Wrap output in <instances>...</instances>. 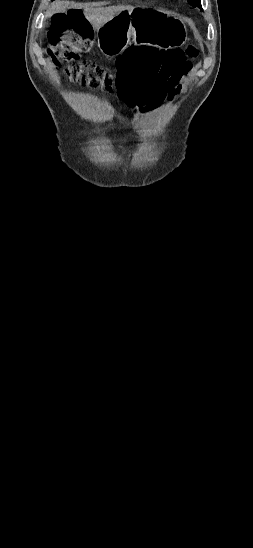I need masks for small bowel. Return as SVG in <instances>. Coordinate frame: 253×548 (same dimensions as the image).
Returning a JSON list of instances; mask_svg holds the SVG:
<instances>
[{
    "label": "small bowel",
    "instance_id": "obj_1",
    "mask_svg": "<svg viewBox=\"0 0 253 548\" xmlns=\"http://www.w3.org/2000/svg\"><path fill=\"white\" fill-rule=\"evenodd\" d=\"M155 60H160V59H155ZM125 101H126V99H125ZM126 102H127V101H126ZM130 106L134 107L135 105H130ZM159 106H161V105H154V106L151 108V110H153V109H155V108H158Z\"/></svg>",
    "mask_w": 253,
    "mask_h": 548
}]
</instances>
